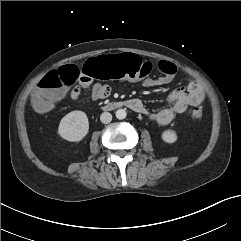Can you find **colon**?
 I'll return each mask as SVG.
<instances>
[{"instance_id":"1","label":"colon","mask_w":241,"mask_h":241,"mask_svg":"<svg viewBox=\"0 0 241 241\" xmlns=\"http://www.w3.org/2000/svg\"><path fill=\"white\" fill-rule=\"evenodd\" d=\"M157 68L164 74L173 77L177 67L169 61H159ZM153 69L150 61H144L132 54H105L104 56H91L82 63V72L90 78L114 79L127 77L141 79L146 77ZM81 75V65L77 61H69L65 66L47 73L38 83L33 96V105L37 111H46L59 100L65 91L72 86ZM203 111L196 107L191 111L195 119L201 118Z\"/></svg>"}]
</instances>
